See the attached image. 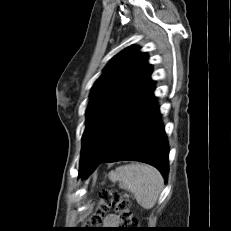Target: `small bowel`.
I'll return each instance as SVG.
<instances>
[{"instance_id": "obj_1", "label": "small bowel", "mask_w": 231, "mask_h": 231, "mask_svg": "<svg viewBox=\"0 0 231 231\" xmlns=\"http://www.w3.org/2000/svg\"><path fill=\"white\" fill-rule=\"evenodd\" d=\"M119 224L118 216L115 214H110L105 218V227H115Z\"/></svg>"}]
</instances>
